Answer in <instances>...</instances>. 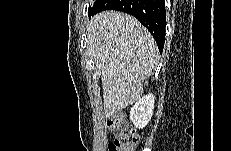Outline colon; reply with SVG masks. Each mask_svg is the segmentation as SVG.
Returning a JSON list of instances; mask_svg holds the SVG:
<instances>
[{"label": "colon", "mask_w": 231, "mask_h": 151, "mask_svg": "<svg viewBox=\"0 0 231 151\" xmlns=\"http://www.w3.org/2000/svg\"><path fill=\"white\" fill-rule=\"evenodd\" d=\"M114 134V140L109 143V151H133L138 143L134 128L127 122L122 112H114L107 122Z\"/></svg>", "instance_id": "5ec220e1"}]
</instances>
